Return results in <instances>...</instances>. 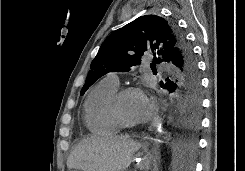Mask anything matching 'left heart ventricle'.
<instances>
[{
	"label": "left heart ventricle",
	"mask_w": 245,
	"mask_h": 171,
	"mask_svg": "<svg viewBox=\"0 0 245 171\" xmlns=\"http://www.w3.org/2000/svg\"><path fill=\"white\" fill-rule=\"evenodd\" d=\"M143 95L129 94L126 95L120 102V111L122 116L130 122L138 123V113Z\"/></svg>",
	"instance_id": "b2bd125f"
}]
</instances>
